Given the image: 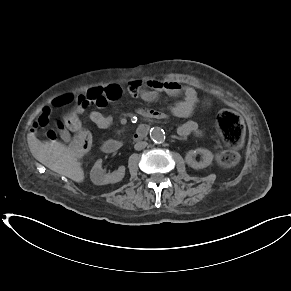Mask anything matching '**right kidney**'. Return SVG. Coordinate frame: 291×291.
<instances>
[{
	"instance_id": "obj_1",
	"label": "right kidney",
	"mask_w": 291,
	"mask_h": 291,
	"mask_svg": "<svg viewBox=\"0 0 291 291\" xmlns=\"http://www.w3.org/2000/svg\"><path fill=\"white\" fill-rule=\"evenodd\" d=\"M125 175V167L120 166L117 171L106 173L102 168V159L97 160L90 172V178L95 185H105L120 182Z\"/></svg>"
}]
</instances>
